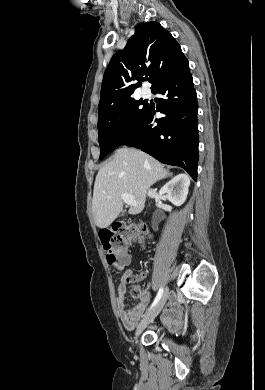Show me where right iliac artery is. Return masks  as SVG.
Returning <instances> with one entry per match:
<instances>
[{"label": "right iliac artery", "instance_id": "82829eb1", "mask_svg": "<svg viewBox=\"0 0 265 390\" xmlns=\"http://www.w3.org/2000/svg\"><path fill=\"white\" fill-rule=\"evenodd\" d=\"M163 294V288L161 287L157 293V296L155 297L151 307L149 308V310H151L157 303L158 301L160 300L161 296Z\"/></svg>", "mask_w": 265, "mask_h": 390}]
</instances>
